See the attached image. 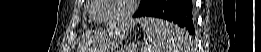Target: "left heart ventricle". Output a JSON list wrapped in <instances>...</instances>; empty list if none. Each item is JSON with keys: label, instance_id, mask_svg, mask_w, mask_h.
Segmentation results:
<instances>
[{"label": "left heart ventricle", "instance_id": "b2bd125f", "mask_svg": "<svg viewBox=\"0 0 261 52\" xmlns=\"http://www.w3.org/2000/svg\"><path fill=\"white\" fill-rule=\"evenodd\" d=\"M103 8L98 12V18L103 21H111L119 17L127 8L126 0H102Z\"/></svg>", "mask_w": 261, "mask_h": 52}]
</instances>
